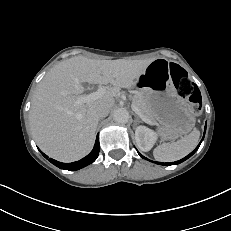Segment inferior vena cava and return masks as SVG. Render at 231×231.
<instances>
[{
	"label": "inferior vena cava",
	"instance_id": "1",
	"mask_svg": "<svg viewBox=\"0 0 231 231\" xmlns=\"http://www.w3.org/2000/svg\"><path fill=\"white\" fill-rule=\"evenodd\" d=\"M109 111L110 109L107 106L101 105L97 108L96 114L99 118H104L109 114Z\"/></svg>",
	"mask_w": 231,
	"mask_h": 231
}]
</instances>
